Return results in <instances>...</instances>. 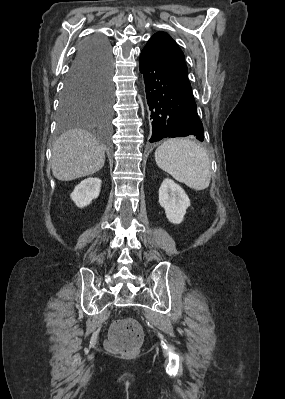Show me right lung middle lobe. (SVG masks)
Segmentation results:
<instances>
[{"label":"right lung middle lobe","mask_w":285,"mask_h":399,"mask_svg":"<svg viewBox=\"0 0 285 399\" xmlns=\"http://www.w3.org/2000/svg\"><path fill=\"white\" fill-rule=\"evenodd\" d=\"M111 76L112 69L101 66L68 73L60 98L61 130L91 111H96L105 121L109 120L113 99Z\"/></svg>","instance_id":"right-lung-middle-lobe-1"}]
</instances>
